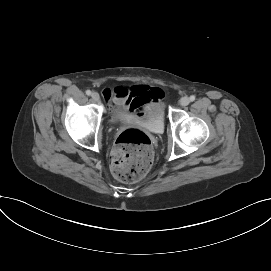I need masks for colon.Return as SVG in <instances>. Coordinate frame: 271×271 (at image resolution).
<instances>
[{
    "mask_svg": "<svg viewBox=\"0 0 271 271\" xmlns=\"http://www.w3.org/2000/svg\"><path fill=\"white\" fill-rule=\"evenodd\" d=\"M153 157L149 136L136 128L126 129L118 136L111 152V172L122 182L139 181L149 172Z\"/></svg>",
    "mask_w": 271,
    "mask_h": 271,
    "instance_id": "colon-1",
    "label": "colon"
}]
</instances>
